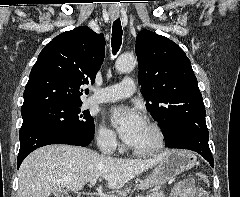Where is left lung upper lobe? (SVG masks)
I'll return each instance as SVG.
<instances>
[{
	"instance_id": "5c2ea615",
	"label": "left lung upper lobe",
	"mask_w": 240,
	"mask_h": 197,
	"mask_svg": "<svg viewBox=\"0 0 240 197\" xmlns=\"http://www.w3.org/2000/svg\"><path fill=\"white\" fill-rule=\"evenodd\" d=\"M135 52L146 107L164 133V119L202 100L191 62L176 43L149 30L138 33Z\"/></svg>"
}]
</instances>
